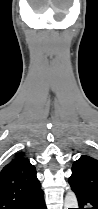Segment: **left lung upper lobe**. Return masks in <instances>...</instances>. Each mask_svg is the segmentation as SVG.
I'll return each mask as SVG.
<instances>
[{
  "mask_svg": "<svg viewBox=\"0 0 98 209\" xmlns=\"http://www.w3.org/2000/svg\"><path fill=\"white\" fill-rule=\"evenodd\" d=\"M68 182L75 191L98 199V160L82 155L73 163Z\"/></svg>",
  "mask_w": 98,
  "mask_h": 209,
  "instance_id": "left-lung-upper-lobe-1",
  "label": "left lung upper lobe"
}]
</instances>
